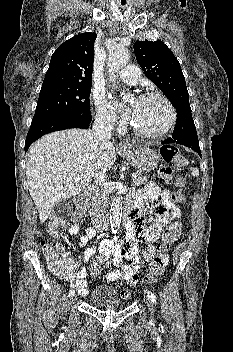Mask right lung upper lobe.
I'll list each match as a JSON object with an SVG mask.
<instances>
[{
    "instance_id": "obj_1",
    "label": "right lung upper lobe",
    "mask_w": 233,
    "mask_h": 352,
    "mask_svg": "<svg viewBox=\"0 0 233 352\" xmlns=\"http://www.w3.org/2000/svg\"><path fill=\"white\" fill-rule=\"evenodd\" d=\"M95 33H82L53 53L42 87L92 85Z\"/></svg>"
}]
</instances>
